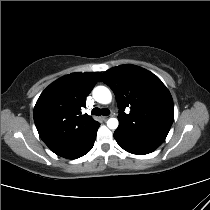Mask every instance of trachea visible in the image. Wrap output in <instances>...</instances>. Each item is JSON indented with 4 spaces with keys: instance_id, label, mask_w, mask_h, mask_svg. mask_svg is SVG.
I'll return each instance as SVG.
<instances>
[{
    "instance_id": "obj_1",
    "label": "trachea",
    "mask_w": 210,
    "mask_h": 210,
    "mask_svg": "<svg viewBox=\"0 0 210 210\" xmlns=\"http://www.w3.org/2000/svg\"><path fill=\"white\" fill-rule=\"evenodd\" d=\"M109 114H110V111L108 109H106V108L100 109V108H97L96 107V108H94L92 110V115H97V116L103 115V116H107Z\"/></svg>"
}]
</instances>
